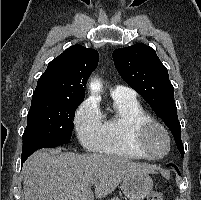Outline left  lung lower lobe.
I'll return each instance as SVG.
<instances>
[{
	"label": "left lung lower lobe",
	"instance_id": "left-lung-lower-lobe-1",
	"mask_svg": "<svg viewBox=\"0 0 201 200\" xmlns=\"http://www.w3.org/2000/svg\"><path fill=\"white\" fill-rule=\"evenodd\" d=\"M167 166H173L177 170L178 174H180L178 168L174 164H168Z\"/></svg>",
	"mask_w": 201,
	"mask_h": 200
}]
</instances>
